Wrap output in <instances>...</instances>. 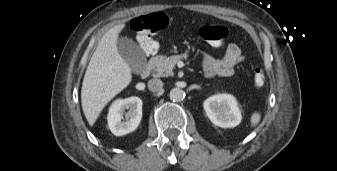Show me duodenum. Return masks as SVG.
Here are the masks:
<instances>
[{
  "label": "duodenum",
  "instance_id": "obj_1",
  "mask_svg": "<svg viewBox=\"0 0 337 171\" xmlns=\"http://www.w3.org/2000/svg\"><path fill=\"white\" fill-rule=\"evenodd\" d=\"M150 70H151L150 66H146V67L141 71L140 77H141L142 79L147 78V77L149 76V74H150Z\"/></svg>",
  "mask_w": 337,
  "mask_h": 171
}]
</instances>
